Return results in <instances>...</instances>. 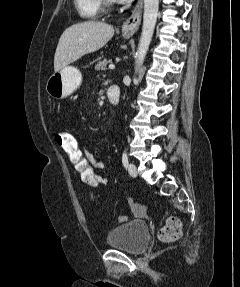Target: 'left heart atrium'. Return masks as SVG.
Masks as SVG:
<instances>
[{
  "label": "left heart atrium",
  "instance_id": "left-heart-atrium-1",
  "mask_svg": "<svg viewBox=\"0 0 240 287\" xmlns=\"http://www.w3.org/2000/svg\"><path fill=\"white\" fill-rule=\"evenodd\" d=\"M116 1H120V2H129L131 0H116Z\"/></svg>",
  "mask_w": 240,
  "mask_h": 287
}]
</instances>
